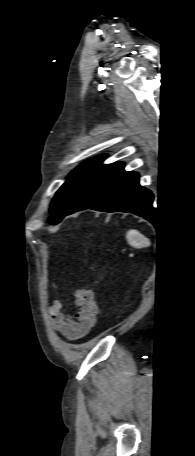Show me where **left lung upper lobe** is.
I'll return each mask as SVG.
<instances>
[{
    "instance_id": "obj_1",
    "label": "left lung upper lobe",
    "mask_w": 195,
    "mask_h": 456,
    "mask_svg": "<svg viewBox=\"0 0 195 456\" xmlns=\"http://www.w3.org/2000/svg\"><path fill=\"white\" fill-rule=\"evenodd\" d=\"M103 159L104 156L89 159L70 173L51 203V224L74 213L105 184L119 163L102 164Z\"/></svg>"
}]
</instances>
